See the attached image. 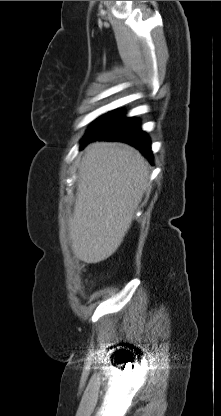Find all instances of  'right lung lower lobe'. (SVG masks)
<instances>
[{"label":"right lung lower lobe","instance_id":"1","mask_svg":"<svg viewBox=\"0 0 221 416\" xmlns=\"http://www.w3.org/2000/svg\"><path fill=\"white\" fill-rule=\"evenodd\" d=\"M95 140L126 142L139 149L151 163L153 161L150 139L140 129L139 120L126 118L122 112L114 113L101 127L86 135L81 141V149Z\"/></svg>","mask_w":221,"mask_h":416}]
</instances>
